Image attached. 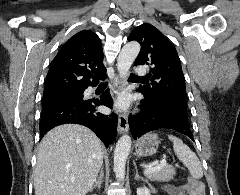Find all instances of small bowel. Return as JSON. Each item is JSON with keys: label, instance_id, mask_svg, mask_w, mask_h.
Returning <instances> with one entry per match:
<instances>
[{"label": "small bowel", "instance_id": "c3829d8e", "mask_svg": "<svg viewBox=\"0 0 240 195\" xmlns=\"http://www.w3.org/2000/svg\"><path fill=\"white\" fill-rule=\"evenodd\" d=\"M162 191L166 195H205L204 186H187L183 185H164Z\"/></svg>", "mask_w": 240, "mask_h": 195}]
</instances>
